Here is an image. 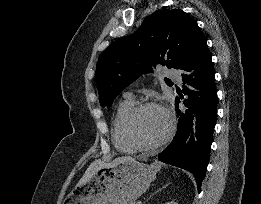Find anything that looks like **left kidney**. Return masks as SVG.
Returning a JSON list of instances; mask_svg holds the SVG:
<instances>
[{
  "label": "left kidney",
  "mask_w": 261,
  "mask_h": 204,
  "mask_svg": "<svg viewBox=\"0 0 261 204\" xmlns=\"http://www.w3.org/2000/svg\"><path fill=\"white\" fill-rule=\"evenodd\" d=\"M165 204H178V203H176L174 201H170V202H166Z\"/></svg>",
  "instance_id": "5707ae66"
}]
</instances>
